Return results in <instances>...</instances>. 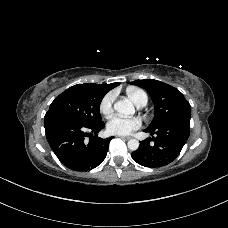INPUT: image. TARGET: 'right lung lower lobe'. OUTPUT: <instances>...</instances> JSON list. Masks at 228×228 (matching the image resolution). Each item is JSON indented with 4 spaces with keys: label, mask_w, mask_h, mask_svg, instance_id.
<instances>
[{
    "label": "right lung lower lobe",
    "mask_w": 228,
    "mask_h": 228,
    "mask_svg": "<svg viewBox=\"0 0 228 228\" xmlns=\"http://www.w3.org/2000/svg\"><path fill=\"white\" fill-rule=\"evenodd\" d=\"M105 126L104 122L86 125L63 115L45 116L47 141L58 159L74 171H88L105 159L110 139L96 135ZM90 136L89 142L85 140Z\"/></svg>",
    "instance_id": "98d812e1"
}]
</instances>
